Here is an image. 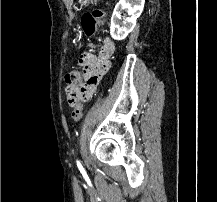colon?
<instances>
[{"label": "colon", "instance_id": "1", "mask_svg": "<svg viewBox=\"0 0 217 202\" xmlns=\"http://www.w3.org/2000/svg\"><path fill=\"white\" fill-rule=\"evenodd\" d=\"M105 11L102 9H92L82 14L80 19V27L84 35L88 40L95 35L98 23L102 21L105 16ZM84 74H90L85 69L73 70L68 73L66 77L67 86L64 91L68 98L69 105L74 99H86L88 96L79 95L80 91L78 87H81V82H84L82 77ZM84 88V87H83ZM83 107H79L77 110H72L73 115L71 116L74 120H79L82 116Z\"/></svg>", "mask_w": 217, "mask_h": 202}]
</instances>
